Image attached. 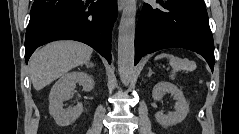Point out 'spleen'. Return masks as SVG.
<instances>
[{
    "instance_id": "spleen-1",
    "label": "spleen",
    "mask_w": 239,
    "mask_h": 134,
    "mask_svg": "<svg viewBox=\"0 0 239 134\" xmlns=\"http://www.w3.org/2000/svg\"><path fill=\"white\" fill-rule=\"evenodd\" d=\"M163 58L168 59L170 66L177 71L186 70L192 72L196 69V63L187 58H179L168 53H162L156 57L157 60Z\"/></svg>"
}]
</instances>
